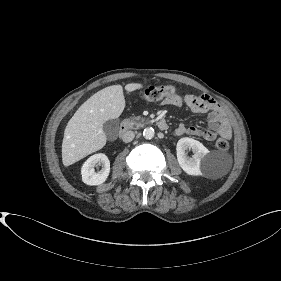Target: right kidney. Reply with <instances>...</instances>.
I'll return each mask as SVG.
<instances>
[{
    "label": "right kidney",
    "instance_id": "ca27d5eb",
    "mask_svg": "<svg viewBox=\"0 0 281 281\" xmlns=\"http://www.w3.org/2000/svg\"><path fill=\"white\" fill-rule=\"evenodd\" d=\"M101 165L102 169L98 172L94 167ZM110 172V161L103 153L90 156L81 168L82 181L87 185H100L106 181Z\"/></svg>",
    "mask_w": 281,
    "mask_h": 281
}]
</instances>
